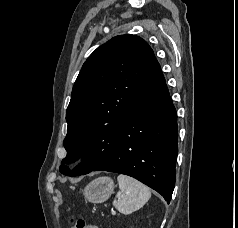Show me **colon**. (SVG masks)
Returning a JSON list of instances; mask_svg holds the SVG:
<instances>
[{"instance_id":"1","label":"colon","mask_w":238,"mask_h":228,"mask_svg":"<svg viewBox=\"0 0 238 228\" xmlns=\"http://www.w3.org/2000/svg\"><path fill=\"white\" fill-rule=\"evenodd\" d=\"M73 228H99L95 224L88 223L86 220L79 218L72 220Z\"/></svg>"}]
</instances>
